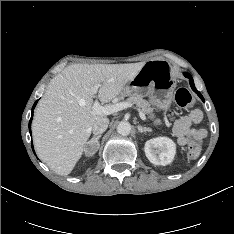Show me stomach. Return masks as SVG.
Returning a JSON list of instances; mask_svg holds the SVG:
<instances>
[{
  "label": "stomach",
  "instance_id": "obj_1",
  "mask_svg": "<svg viewBox=\"0 0 234 234\" xmlns=\"http://www.w3.org/2000/svg\"><path fill=\"white\" fill-rule=\"evenodd\" d=\"M176 78L169 65L162 61H149L144 63L137 75L122 89V96H150L152 102L160 109L170 107Z\"/></svg>",
  "mask_w": 234,
  "mask_h": 234
}]
</instances>
